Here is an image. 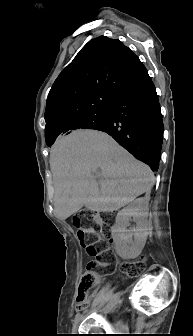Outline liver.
Segmentation results:
<instances>
[{
	"label": "liver",
	"instance_id": "liver-1",
	"mask_svg": "<svg viewBox=\"0 0 193 336\" xmlns=\"http://www.w3.org/2000/svg\"><path fill=\"white\" fill-rule=\"evenodd\" d=\"M55 187L54 212L65 220L85 206L113 212L154 184L150 167L121 147L108 134L80 130L59 140L50 152Z\"/></svg>",
	"mask_w": 193,
	"mask_h": 336
}]
</instances>
